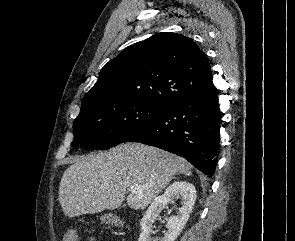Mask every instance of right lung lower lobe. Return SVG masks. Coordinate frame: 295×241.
I'll return each mask as SVG.
<instances>
[{"label": "right lung lower lobe", "instance_id": "obj_1", "mask_svg": "<svg viewBox=\"0 0 295 241\" xmlns=\"http://www.w3.org/2000/svg\"><path fill=\"white\" fill-rule=\"evenodd\" d=\"M221 117L218 91L212 86L175 99L121 143L141 142L172 152L211 176L218 160Z\"/></svg>", "mask_w": 295, "mask_h": 241}]
</instances>
